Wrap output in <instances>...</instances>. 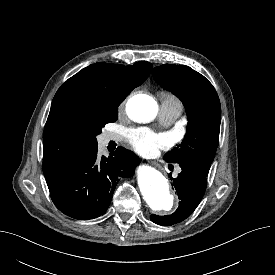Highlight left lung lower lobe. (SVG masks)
Returning <instances> with one entry per match:
<instances>
[{
	"instance_id": "obj_1",
	"label": "left lung lower lobe",
	"mask_w": 275,
	"mask_h": 275,
	"mask_svg": "<svg viewBox=\"0 0 275 275\" xmlns=\"http://www.w3.org/2000/svg\"><path fill=\"white\" fill-rule=\"evenodd\" d=\"M180 167L182 171L178 177H171L180 199L179 207L171 215H151V221L156 224L169 226L185 220L196 209L205 193L210 167L196 162L180 164Z\"/></svg>"
}]
</instances>
